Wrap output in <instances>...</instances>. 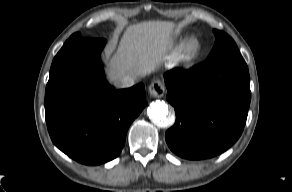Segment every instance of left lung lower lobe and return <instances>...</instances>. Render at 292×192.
Masks as SVG:
<instances>
[{"mask_svg": "<svg viewBox=\"0 0 292 192\" xmlns=\"http://www.w3.org/2000/svg\"><path fill=\"white\" fill-rule=\"evenodd\" d=\"M176 122L169 148L191 160L214 157L240 137L250 104L249 71L242 56H221L190 70L164 74Z\"/></svg>", "mask_w": 292, "mask_h": 192, "instance_id": "obj_1", "label": "left lung lower lobe"}]
</instances>
